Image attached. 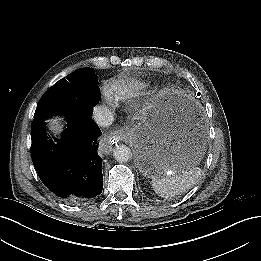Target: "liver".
I'll return each mask as SVG.
<instances>
[{
	"label": "liver",
	"instance_id": "6515ba94",
	"mask_svg": "<svg viewBox=\"0 0 261 261\" xmlns=\"http://www.w3.org/2000/svg\"><path fill=\"white\" fill-rule=\"evenodd\" d=\"M61 118H55L50 120V128L54 133H60L62 131V125L60 123Z\"/></svg>",
	"mask_w": 261,
	"mask_h": 261
}]
</instances>
